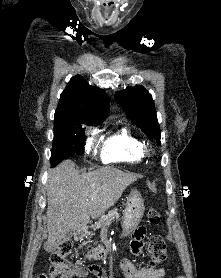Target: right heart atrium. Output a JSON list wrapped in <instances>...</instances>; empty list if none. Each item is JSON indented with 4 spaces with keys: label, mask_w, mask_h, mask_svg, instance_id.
I'll return each instance as SVG.
<instances>
[{
    "label": "right heart atrium",
    "mask_w": 221,
    "mask_h": 278,
    "mask_svg": "<svg viewBox=\"0 0 221 278\" xmlns=\"http://www.w3.org/2000/svg\"><path fill=\"white\" fill-rule=\"evenodd\" d=\"M92 144H93V137L90 136L86 140V146H85L86 153L90 152Z\"/></svg>",
    "instance_id": "d8ad5b80"
}]
</instances>
